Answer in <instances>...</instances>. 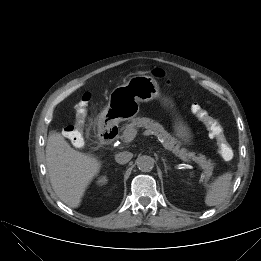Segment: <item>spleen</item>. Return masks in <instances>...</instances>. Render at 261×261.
<instances>
[{
  "label": "spleen",
  "mask_w": 261,
  "mask_h": 261,
  "mask_svg": "<svg viewBox=\"0 0 261 261\" xmlns=\"http://www.w3.org/2000/svg\"><path fill=\"white\" fill-rule=\"evenodd\" d=\"M232 177V173H224L209 186L205 196V204L207 206L219 205L227 198Z\"/></svg>",
  "instance_id": "obj_1"
}]
</instances>
